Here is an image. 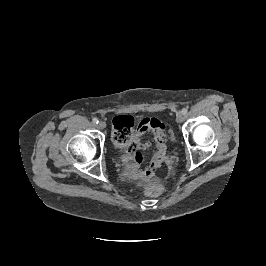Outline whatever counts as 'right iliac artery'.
Listing matches in <instances>:
<instances>
[{"label":"right iliac artery","mask_w":266,"mask_h":266,"mask_svg":"<svg viewBox=\"0 0 266 266\" xmlns=\"http://www.w3.org/2000/svg\"><path fill=\"white\" fill-rule=\"evenodd\" d=\"M93 123H95V124H97L99 121H98V119L97 118H93Z\"/></svg>","instance_id":"obj_1"}]
</instances>
